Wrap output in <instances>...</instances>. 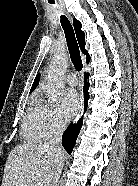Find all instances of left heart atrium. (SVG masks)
<instances>
[{
	"mask_svg": "<svg viewBox=\"0 0 138 186\" xmlns=\"http://www.w3.org/2000/svg\"><path fill=\"white\" fill-rule=\"evenodd\" d=\"M79 108V98L75 90L66 89L61 94L60 115L64 120H69Z\"/></svg>",
	"mask_w": 138,
	"mask_h": 186,
	"instance_id": "39dd6f15",
	"label": "left heart atrium"
}]
</instances>
